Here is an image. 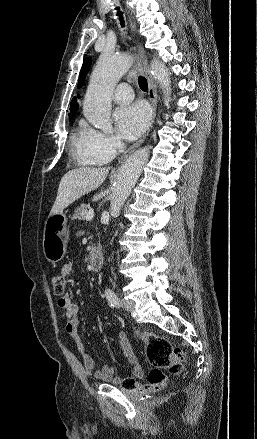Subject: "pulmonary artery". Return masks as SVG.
Segmentation results:
<instances>
[{"label":"pulmonary artery","mask_w":257,"mask_h":439,"mask_svg":"<svg viewBox=\"0 0 257 439\" xmlns=\"http://www.w3.org/2000/svg\"><path fill=\"white\" fill-rule=\"evenodd\" d=\"M133 91L130 85L122 83L114 91L113 98L119 104H126L133 99Z\"/></svg>","instance_id":"e3ab8cb5"}]
</instances>
